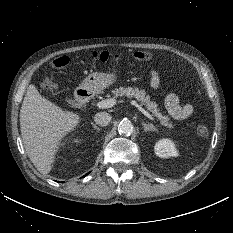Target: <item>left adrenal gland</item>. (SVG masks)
Masks as SVG:
<instances>
[{"label": "left adrenal gland", "instance_id": "left-adrenal-gland-1", "mask_svg": "<svg viewBox=\"0 0 233 233\" xmlns=\"http://www.w3.org/2000/svg\"><path fill=\"white\" fill-rule=\"evenodd\" d=\"M142 126L144 127V131H153V132H158L157 128L152 124V123H146V122H142Z\"/></svg>", "mask_w": 233, "mask_h": 233}]
</instances>
